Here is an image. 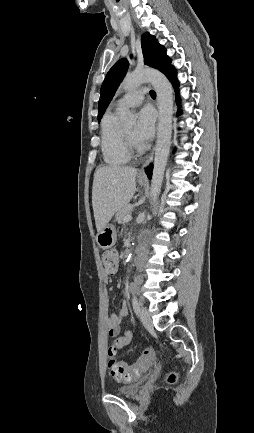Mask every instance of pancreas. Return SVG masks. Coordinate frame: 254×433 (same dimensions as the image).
Masks as SVG:
<instances>
[{
    "label": "pancreas",
    "mask_w": 254,
    "mask_h": 433,
    "mask_svg": "<svg viewBox=\"0 0 254 433\" xmlns=\"http://www.w3.org/2000/svg\"><path fill=\"white\" fill-rule=\"evenodd\" d=\"M131 211H132L131 205H130V204L125 205V206L122 207L120 210H118V212H117V214H116V221H117L119 224L124 223V218H125L127 215H130V214H131Z\"/></svg>",
    "instance_id": "1"
}]
</instances>
